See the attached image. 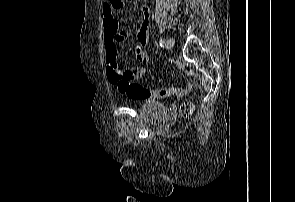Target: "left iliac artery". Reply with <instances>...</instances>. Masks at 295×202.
<instances>
[{"label":"left iliac artery","instance_id":"left-iliac-artery-1","mask_svg":"<svg viewBox=\"0 0 295 202\" xmlns=\"http://www.w3.org/2000/svg\"><path fill=\"white\" fill-rule=\"evenodd\" d=\"M165 43H166V41H165V39H160V41H159V44H160V46L161 47H164L165 46Z\"/></svg>","mask_w":295,"mask_h":202}]
</instances>
